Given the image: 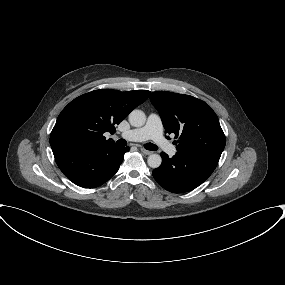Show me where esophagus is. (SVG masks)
I'll return each mask as SVG.
<instances>
[{"label":"esophagus","instance_id":"1","mask_svg":"<svg viewBox=\"0 0 285 285\" xmlns=\"http://www.w3.org/2000/svg\"><path fill=\"white\" fill-rule=\"evenodd\" d=\"M140 150H141V152H142L143 154H145V155H150V154H152L151 151L146 150V149H144V148H141Z\"/></svg>","mask_w":285,"mask_h":285}]
</instances>
